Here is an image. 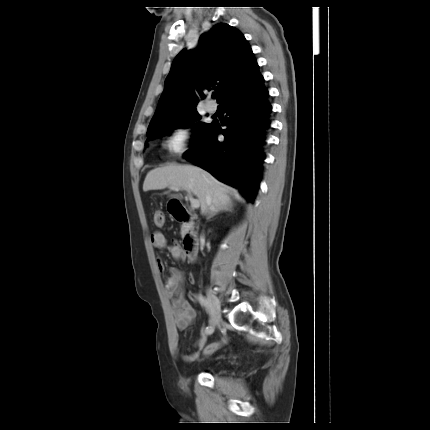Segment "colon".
Wrapping results in <instances>:
<instances>
[{"instance_id":"5ec220e1","label":"colon","mask_w":430,"mask_h":430,"mask_svg":"<svg viewBox=\"0 0 430 430\" xmlns=\"http://www.w3.org/2000/svg\"><path fill=\"white\" fill-rule=\"evenodd\" d=\"M165 221V217H164V213L160 210H157L154 213V223L156 226H162L164 224ZM226 340L223 339L221 341L218 342H213L211 344H209L205 351H204V356H209L211 355L214 351H216L221 345L225 344Z\"/></svg>"}]
</instances>
